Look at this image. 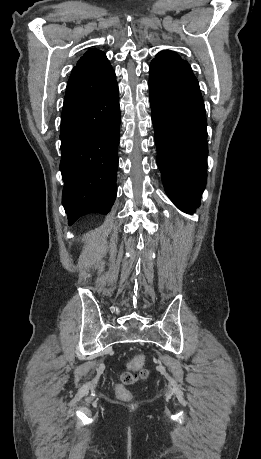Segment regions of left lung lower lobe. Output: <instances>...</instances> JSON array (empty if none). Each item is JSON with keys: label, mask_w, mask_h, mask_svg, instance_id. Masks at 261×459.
<instances>
[{"label": "left lung lower lobe", "mask_w": 261, "mask_h": 459, "mask_svg": "<svg viewBox=\"0 0 261 459\" xmlns=\"http://www.w3.org/2000/svg\"><path fill=\"white\" fill-rule=\"evenodd\" d=\"M149 91L157 164L168 197L192 214L207 181V120L192 71L151 62Z\"/></svg>", "instance_id": "left-lung-lower-lobe-1"}]
</instances>
